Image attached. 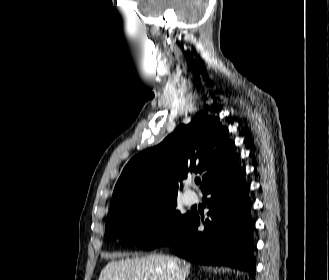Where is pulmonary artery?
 <instances>
[{"label":"pulmonary artery","mask_w":329,"mask_h":280,"mask_svg":"<svg viewBox=\"0 0 329 280\" xmlns=\"http://www.w3.org/2000/svg\"><path fill=\"white\" fill-rule=\"evenodd\" d=\"M184 198H185L186 204L192 205V204L196 203L198 196L195 192L188 191L185 193Z\"/></svg>","instance_id":"1"}]
</instances>
